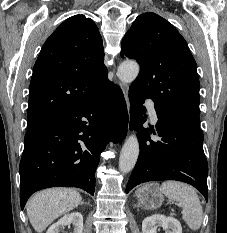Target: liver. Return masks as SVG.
<instances>
[{"instance_id": "obj_1", "label": "liver", "mask_w": 227, "mask_h": 233, "mask_svg": "<svg viewBox=\"0 0 227 233\" xmlns=\"http://www.w3.org/2000/svg\"><path fill=\"white\" fill-rule=\"evenodd\" d=\"M82 203L79 192L68 188H51L34 194L26 209L30 223L37 233H42L54 220Z\"/></svg>"}]
</instances>
